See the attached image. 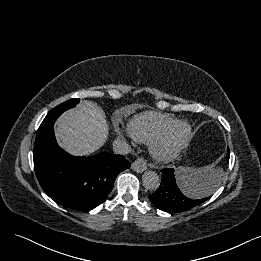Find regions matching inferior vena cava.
I'll use <instances>...</instances> for the list:
<instances>
[{
	"label": "inferior vena cava",
	"mask_w": 261,
	"mask_h": 261,
	"mask_svg": "<svg viewBox=\"0 0 261 261\" xmlns=\"http://www.w3.org/2000/svg\"><path fill=\"white\" fill-rule=\"evenodd\" d=\"M113 151L116 154L126 155L130 152V147L123 139H115L113 142Z\"/></svg>",
	"instance_id": "1"
}]
</instances>
